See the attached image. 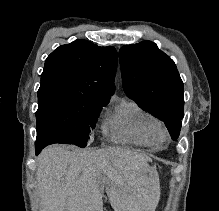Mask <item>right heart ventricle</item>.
Instances as JSON below:
<instances>
[{
    "label": "right heart ventricle",
    "instance_id": "obj_1",
    "mask_svg": "<svg viewBox=\"0 0 219 211\" xmlns=\"http://www.w3.org/2000/svg\"><path fill=\"white\" fill-rule=\"evenodd\" d=\"M105 130L113 141L122 144L154 148L163 140L159 120L131 100L116 106L105 122Z\"/></svg>",
    "mask_w": 219,
    "mask_h": 211
}]
</instances>
